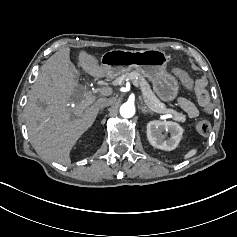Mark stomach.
<instances>
[{"label": "stomach", "mask_w": 237, "mask_h": 237, "mask_svg": "<svg viewBox=\"0 0 237 237\" xmlns=\"http://www.w3.org/2000/svg\"><path fill=\"white\" fill-rule=\"evenodd\" d=\"M169 58L160 49L146 50L112 49L102 54L101 64L107 68V76L115 78L135 69L152 84L153 91L164 102L174 101L180 91L177 77L167 71Z\"/></svg>", "instance_id": "stomach-1"}]
</instances>
